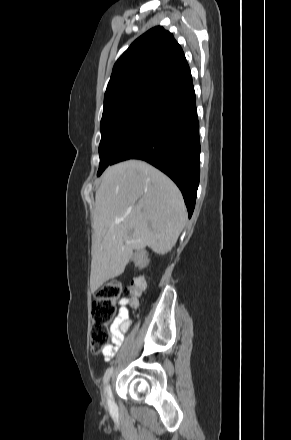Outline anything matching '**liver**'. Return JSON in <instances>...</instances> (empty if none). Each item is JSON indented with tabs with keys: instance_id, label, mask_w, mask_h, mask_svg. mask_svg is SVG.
<instances>
[{
	"instance_id": "6515ba94",
	"label": "liver",
	"mask_w": 291,
	"mask_h": 440,
	"mask_svg": "<svg viewBox=\"0 0 291 440\" xmlns=\"http://www.w3.org/2000/svg\"><path fill=\"white\" fill-rule=\"evenodd\" d=\"M186 221L182 194L161 171L141 160L109 166L95 194L91 291L121 275L133 250L168 253Z\"/></svg>"
}]
</instances>
